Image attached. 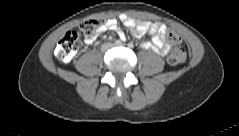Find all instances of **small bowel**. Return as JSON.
I'll return each mask as SVG.
<instances>
[{
  "label": "small bowel",
  "instance_id": "1",
  "mask_svg": "<svg viewBox=\"0 0 239 136\" xmlns=\"http://www.w3.org/2000/svg\"><path fill=\"white\" fill-rule=\"evenodd\" d=\"M121 22L130 29L132 35L135 37H141L145 33L151 35V42H146L143 46L146 49H151L160 55H165L170 49V45L166 40L167 27L165 24L160 22H146L137 21L129 16L122 15L120 17ZM106 31L117 32L121 40H125V34L118 28V23L116 19H109L103 25L100 26L99 32L103 33ZM95 38H85V43L87 45L93 44Z\"/></svg>",
  "mask_w": 239,
  "mask_h": 136
}]
</instances>
